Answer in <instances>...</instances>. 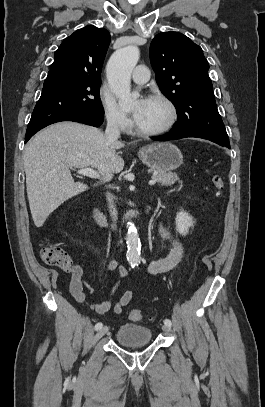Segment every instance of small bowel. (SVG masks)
<instances>
[{
	"instance_id": "c3829d8e",
	"label": "small bowel",
	"mask_w": 265,
	"mask_h": 407,
	"mask_svg": "<svg viewBox=\"0 0 265 407\" xmlns=\"http://www.w3.org/2000/svg\"><path fill=\"white\" fill-rule=\"evenodd\" d=\"M158 231L162 238L171 243V250L166 257L150 262L148 272L151 275L165 273L175 268L181 261L183 255L182 244L178 239L174 238L163 225H159ZM109 269L111 271L117 269V264L114 260L109 262ZM83 274L82 266L79 263H76L71 269L70 292L79 303H86L94 313L104 314L112 309L114 313L121 314L124 308L132 300V290L125 291L116 302H113L112 300L120 280L128 275L127 269L121 268L118 271L116 282L110 292V297L104 301L96 303H87L85 300V294L83 291Z\"/></svg>"
}]
</instances>
